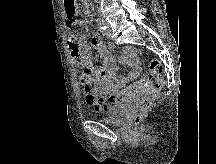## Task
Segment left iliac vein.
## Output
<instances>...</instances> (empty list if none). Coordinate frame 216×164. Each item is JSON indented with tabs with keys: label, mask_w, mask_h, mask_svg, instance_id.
<instances>
[{
	"label": "left iliac vein",
	"mask_w": 216,
	"mask_h": 164,
	"mask_svg": "<svg viewBox=\"0 0 216 164\" xmlns=\"http://www.w3.org/2000/svg\"><path fill=\"white\" fill-rule=\"evenodd\" d=\"M111 28H110V25H107V29L105 30V35L107 36V37H110L111 36Z\"/></svg>",
	"instance_id": "4c4485c4"
}]
</instances>
